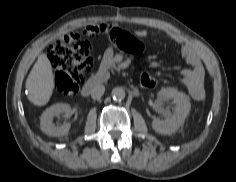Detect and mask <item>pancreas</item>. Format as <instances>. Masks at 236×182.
Masks as SVG:
<instances>
[{
    "label": "pancreas",
    "mask_w": 236,
    "mask_h": 182,
    "mask_svg": "<svg viewBox=\"0 0 236 182\" xmlns=\"http://www.w3.org/2000/svg\"><path fill=\"white\" fill-rule=\"evenodd\" d=\"M108 65L113 66V65H114V62H113L112 60H109V61H108Z\"/></svg>",
    "instance_id": "pancreas-1"
}]
</instances>
